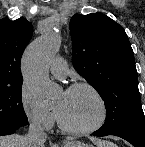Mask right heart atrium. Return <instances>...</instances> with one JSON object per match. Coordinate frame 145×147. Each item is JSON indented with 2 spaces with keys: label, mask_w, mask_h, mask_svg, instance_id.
<instances>
[{
  "label": "right heart atrium",
  "mask_w": 145,
  "mask_h": 147,
  "mask_svg": "<svg viewBox=\"0 0 145 147\" xmlns=\"http://www.w3.org/2000/svg\"><path fill=\"white\" fill-rule=\"evenodd\" d=\"M19 103L23 115L32 125L44 130H49L54 126L56 115L53 109L40 104L25 83L20 89Z\"/></svg>",
  "instance_id": "1"
}]
</instances>
